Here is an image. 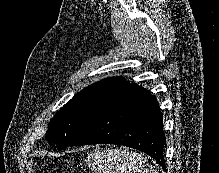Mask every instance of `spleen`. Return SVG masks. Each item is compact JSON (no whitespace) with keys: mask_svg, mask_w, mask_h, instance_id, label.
Here are the masks:
<instances>
[{"mask_svg":"<svg viewBox=\"0 0 219 173\" xmlns=\"http://www.w3.org/2000/svg\"><path fill=\"white\" fill-rule=\"evenodd\" d=\"M87 160L96 173H159L141 154L127 149L95 150Z\"/></svg>","mask_w":219,"mask_h":173,"instance_id":"3e777b00","label":"spleen"}]
</instances>
